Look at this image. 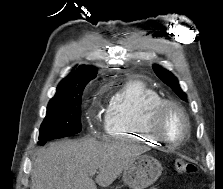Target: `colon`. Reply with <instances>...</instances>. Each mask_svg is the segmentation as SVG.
Instances as JSON below:
<instances>
[{
  "instance_id": "colon-1",
  "label": "colon",
  "mask_w": 223,
  "mask_h": 189,
  "mask_svg": "<svg viewBox=\"0 0 223 189\" xmlns=\"http://www.w3.org/2000/svg\"><path fill=\"white\" fill-rule=\"evenodd\" d=\"M174 166L176 172H178L179 174H192L196 170L194 164L182 159L176 160Z\"/></svg>"
}]
</instances>
